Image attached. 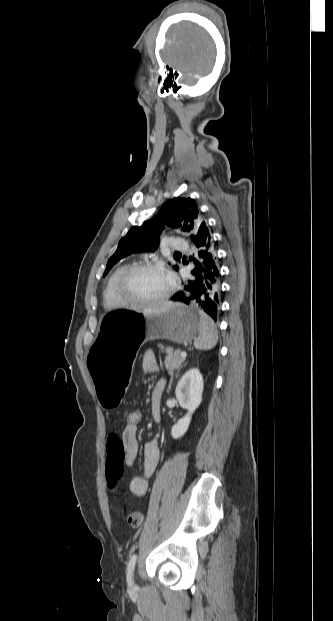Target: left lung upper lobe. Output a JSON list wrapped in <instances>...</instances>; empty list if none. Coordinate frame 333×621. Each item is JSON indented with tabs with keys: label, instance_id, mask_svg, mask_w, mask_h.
<instances>
[{
	"label": "left lung upper lobe",
	"instance_id": "obj_1",
	"mask_svg": "<svg viewBox=\"0 0 333 621\" xmlns=\"http://www.w3.org/2000/svg\"><path fill=\"white\" fill-rule=\"evenodd\" d=\"M180 228L183 231L193 232L194 240L199 230L207 223L200 216L198 206L191 198H174L167 201L161 210L152 219L141 226H133L119 241L116 252L110 257L104 276L119 260L132 252L154 251L159 246V235L164 226ZM178 270V266H173Z\"/></svg>",
	"mask_w": 333,
	"mask_h": 621
}]
</instances>
